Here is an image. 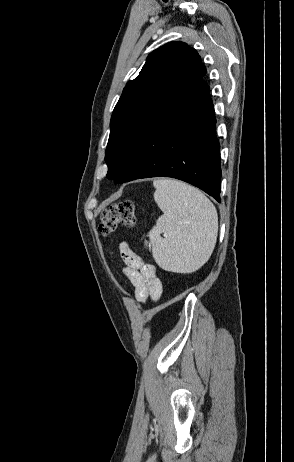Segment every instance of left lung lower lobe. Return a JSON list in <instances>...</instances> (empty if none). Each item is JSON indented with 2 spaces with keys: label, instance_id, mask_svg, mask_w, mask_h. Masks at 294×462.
I'll use <instances>...</instances> for the list:
<instances>
[{
  "label": "left lung lower lobe",
  "instance_id": "1",
  "mask_svg": "<svg viewBox=\"0 0 294 462\" xmlns=\"http://www.w3.org/2000/svg\"><path fill=\"white\" fill-rule=\"evenodd\" d=\"M215 123L207 83H188L174 101L155 111L114 182L172 177L197 186L220 202V146Z\"/></svg>",
  "mask_w": 294,
  "mask_h": 462
}]
</instances>
